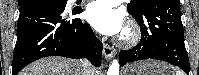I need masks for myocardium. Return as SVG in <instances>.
I'll return each mask as SVG.
<instances>
[{"mask_svg":"<svg viewBox=\"0 0 199 75\" xmlns=\"http://www.w3.org/2000/svg\"><path fill=\"white\" fill-rule=\"evenodd\" d=\"M139 37L140 34L138 28L133 23H130L120 37L119 43L123 47H130L138 42Z\"/></svg>","mask_w":199,"mask_h":75,"instance_id":"obj_1","label":"myocardium"}]
</instances>
